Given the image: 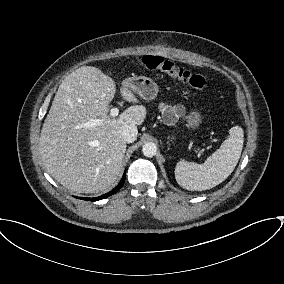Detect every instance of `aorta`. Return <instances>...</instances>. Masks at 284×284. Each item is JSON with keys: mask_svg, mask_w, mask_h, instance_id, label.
<instances>
[{"mask_svg": "<svg viewBox=\"0 0 284 284\" xmlns=\"http://www.w3.org/2000/svg\"><path fill=\"white\" fill-rule=\"evenodd\" d=\"M157 146L152 142L145 143L142 147V153L146 157H153L156 155Z\"/></svg>", "mask_w": 284, "mask_h": 284, "instance_id": "762f6f07", "label": "aorta"}]
</instances>
